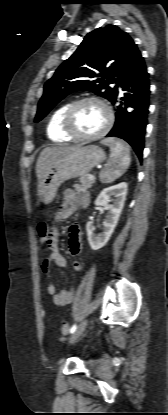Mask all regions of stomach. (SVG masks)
<instances>
[{
	"label": "stomach",
	"mask_w": 168,
	"mask_h": 415,
	"mask_svg": "<svg viewBox=\"0 0 168 415\" xmlns=\"http://www.w3.org/2000/svg\"><path fill=\"white\" fill-rule=\"evenodd\" d=\"M105 159L104 151L96 145H79L52 163L38 180L37 194L41 202L49 204L58 188L67 180L88 174Z\"/></svg>",
	"instance_id": "0dacf381"
}]
</instances>
